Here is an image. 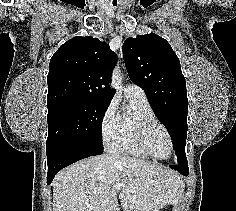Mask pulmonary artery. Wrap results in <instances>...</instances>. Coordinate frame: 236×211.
Here are the masks:
<instances>
[{
  "label": "pulmonary artery",
  "mask_w": 236,
  "mask_h": 211,
  "mask_svg": "<svg viewBox=\"0 0 236 211\" xmlns=\"http://www.w3.org/2000/svg\"><path fill=\"white\" fill-rule=\"evenodd\" d=\"M124 95L128 99H139L146 101V95L141 87L135 84H128L124 88Z\"/></svg>",
  "instance_id": "1"
}]
</instances>
